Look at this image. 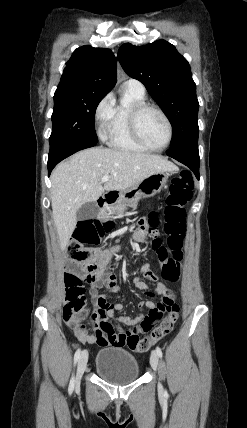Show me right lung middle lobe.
Wrapping results in <instances>:
<instances>
[{"label":"right lung middle lobe","mask_w":247,"mask_h":428,"mask_svg":"<svg viewBox=\"0 0 247 428\" xmlns=\"http://www.w3.org/2000/svg\"><path fill=\"white\" fill-rule=\"evenodd\" d=\"M105 95L86 91L54 94L50 145L60 142L96 144L95 112Z\"/></svg>","instance_id":"right-lung-middle-lobe-1"}]
</instances>
